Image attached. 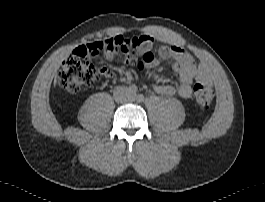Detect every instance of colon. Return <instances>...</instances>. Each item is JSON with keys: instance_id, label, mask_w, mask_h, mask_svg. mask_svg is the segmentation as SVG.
<instances>
[{"instance_id": "obj_1", "label": "colon", "mask_w": 265, "mask_h": 202, "mask_svg": "<svg viewBox=\"0 0 265 202\" xmlns=\"http://www.w3.org/2000/svg\"><path fill=\"white\" fill-rule=\"evenodd\" d=\"M146 36L127 38L115 36L103 38L88 47L92 55L102 52H119L128 54L136 49H143L145 56L153 53L152 47L145 44ZM87 54L73 53L68 56L58 72L57 81L59 86L71 93L80 92L85 86L92 85L100 80H110L114 77L112 69L107 67L98 68L92 64ZM140 69L143 63H138ZM196 103L201 108H208L215 98V89L211 85L195 83L193 85Z\"/></svg>"}]
</instances>
